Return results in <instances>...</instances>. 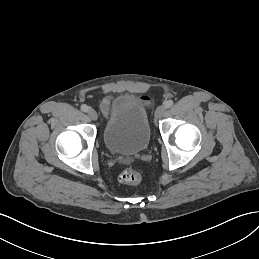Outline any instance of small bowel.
I'll return each mask as SVG.
<instances>
[{
  "label": "small bowel",
  "mask_w": 259,
  "mask_h": 259,
  "mask_svg": "<svg viewBox=\"0 0 259 259\" xmlns=\"http://www.w3.org/2000/svg\"><path fill=\"white\" fill-rule=\"evenodd\" d=\"M135 100L139 101L142 104H149L150 100L148 97L146 96H142V97H137L135 98ZM110 103H111V97H105L102 102L100 103V109L102 111V113L107 116L109 113V108H110Z\"/></svg>",
  "instance_id": "obj_1"
}]
</instances>
